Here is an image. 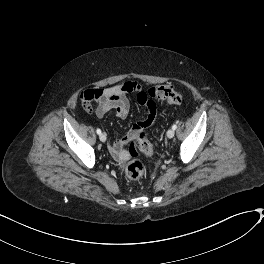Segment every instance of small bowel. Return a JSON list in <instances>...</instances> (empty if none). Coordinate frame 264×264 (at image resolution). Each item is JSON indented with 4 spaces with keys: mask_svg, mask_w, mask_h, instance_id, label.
Returning a JSON list of instances; mask_svg holds the SVG:
<instances>
[{
    "mask_svg": "<svg viewBox=\"0 0 264 264\" xmlns=\"http://www.w3.org/2000/svg\"><path fill=\"white\" fill-rule=\"evenodd\" d=\"M143 87L135 80H129L124 83H118L108 88L95 89L92 92L93 98L90 103H94L95 114L98 118L105 116L111 109H114L116 115L120 118H126L130 110L128 95L142 91ZM147 117L139 122L141 127L152 126L157 117V106L154 104L147 107ZM139 127L137 124L127 133L124 138L116 139L108 144V150L112 157L118 161L127 159L128 154L124 151V146L130 141H134L139 136Z\"/></svg>",
    "mask_w": 264,
    "mask_h": 264,
    "instance_id": "obj_1",
    "label": "small bowel"
}]
</instances>
